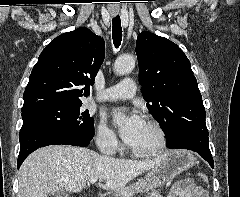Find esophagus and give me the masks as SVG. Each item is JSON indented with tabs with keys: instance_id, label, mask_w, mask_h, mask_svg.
<instances>
[{
	"instance_id": "34e87169",
	"label": "esophagus",
	"mask_w": 240,
	"mask_h": 197,
	"mask_svg": "<svg viewBox=\"0 0 240 197\" xmlns=\"http://www.w3.org/2000/svg\"><path fill=\"white\" fill-rule=\"evenodd\" d=\"M117 15V13H112V16H116Z\"/></svg>"
}]
</instances>
